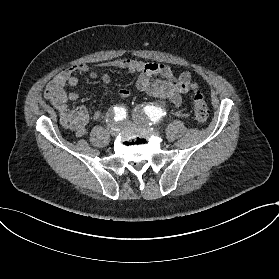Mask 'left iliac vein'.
I'll return each mask as SVG.
<instances>
[{
    "label": "left iliac vein",
    "mask_w": 279,
    "mask_h": 279,
    "mask_svg": "<svg viewBox=\"0 0 279 279\" xmlns=\"http://www.w3.org/2000/svg\"><path fill=\"white\" fill-rule=\"evenodd\" d=\"M131 120L133 119L132 117L130 118ZM135 119V118H134ZM138 125H142L140 122H138L137 120L135 121ZM143 130H145V131H149L150 133H152V134H154V135H157V134H159V129H157V128H154V127H150V126H148V125H143Z\"/></svg>",
    "instance_id": "left-iliac-vein-1"
}]
</instances>
